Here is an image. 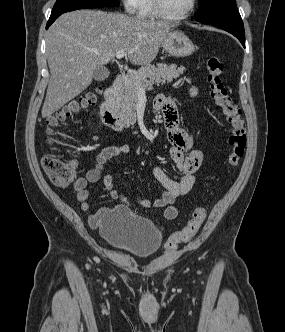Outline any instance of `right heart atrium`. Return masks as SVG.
<instances>
[{
    "label": "right heart atrium",
    "instance_id": "obj_1",
    "mask_svg": "<svg viewBox=\"0 0 285 332\" xmlns=\"http://www.w3.org/2000/svg\"><path fill=\"white\" fill-rule=\"evenodd\" d=\"M126 12L134 13L137 10L138 0H121Z\"/></svg>",
    "mask_w": 285,
    "mask_h": 332
}]
</instances>
